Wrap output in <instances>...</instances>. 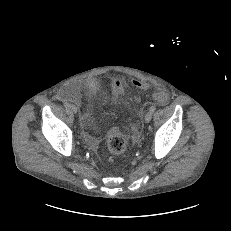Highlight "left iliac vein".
<instances>
[{"instance_id":"1","label":"left iliac vein","mask_w":231,"mask_h":231,"mask_svg":"<svg viewBox=\"0 0 231 231\" xmlns=\"http://www.w3.org/2000/svg\"><path fill=\"white\" fill-rule=\"evenodd\" d=\"M152 119V112L151 111H148L146 114H145V122L146 123H149Z\"/></svg>"}]
</instances>
